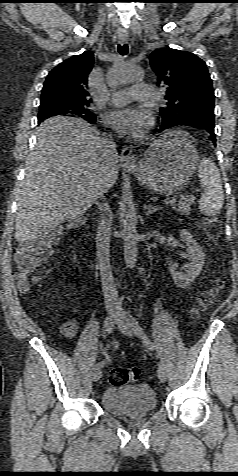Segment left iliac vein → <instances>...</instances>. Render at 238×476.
Segmentation results:
<instances>
[{
    "label": "left iliac vein",
    "instance_id": "left-iliac-vein-1",
    "mask_svg": "<svg viewBox=\"0 0 238 476\" xmlns=\"http://www.w3.org/2000/svg\"><path fill=\"white\" fill-rule=\"evenodd\" d=\"M116 324L118 329L126 336L131 337L133 335V329L126 318V315L123 311H118ZM158 377L161 382H166L167 380V371L163 363L158 365Z\"/></svg>",
    "mask_w": 238,
    "mask_h": 476
}]
</instances>
